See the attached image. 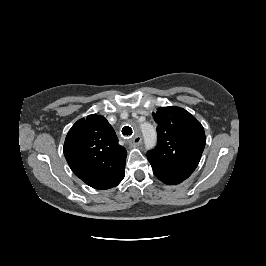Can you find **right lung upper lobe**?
Here are the masks:
<instances>
[{
    "mask_svg": "<svg viewBox=\"0 0 266 266\" xmlns=\"http://www.w3.org/2000/svg\"><path fill=\"white\" fill-rule=\"evenodd\" d=\"M64 155L74 174L95 189L115 187L125 176L127 151L101 115H88L71 127Z\"/></svg>",
    "mask_w": 266,
    "mask_h": 266,
    "instance_id": "cb5924a9",
    "label": "right lung upper lobe"
}]
</instances>
